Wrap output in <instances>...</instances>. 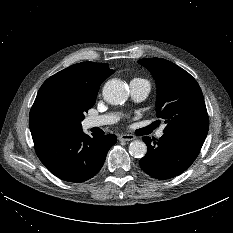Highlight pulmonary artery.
I'll use <instances>...</instances> for the list:
<instances>
[{"instance_id":"obj_1","label":"pulmonary artery","mask_w":233,"mask_h":233,"mask_svg":"<svg viewBox=\"0 0 233 233\" xmlns=\"http://www.w3.org/2000/svg\"><path fill=\"white\" fill-rule=\"evenodd\" d=\"M130 91L133 99L135 101L144 100L150 91V84L147 80L141 78H135L130 82ZM118 117L115 114H106L101 116L89 117L86 120V124L89 128L101 127L109 124H113L117 121ZM164 127H162L157 132V137H162L164 132Z\"/></svg>"}]
</instances>
